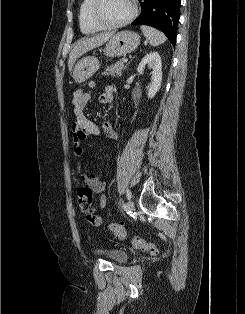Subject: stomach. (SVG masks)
<instances>
[{
  "label": "stomach",
  "mask_w": 245,
  "mask_h": 314,
  "mask_svg": "<svg viewBox=\"0 0 245 314\" xmlns=\"http://www.w3.org/2000/svg\"><path fill=\"white\" fill-rule=\"evenodd\" d=\"M140 44V36L133 31H121L113 34L103 52L107 57H120L134 51ZM100 63L96 57H84L75 66L73 78L82 83L92 77L99 69Z\"/></svg>",
  "instance_id": "stomach-1"
}]
</instances>
